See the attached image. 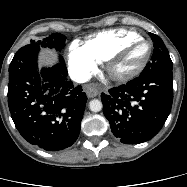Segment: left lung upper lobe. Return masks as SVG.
Segmentation results:
<instances>
[{"label": "left lung upper lobe", "instance_id": "5c2ea615", "mask_svg": "<svg viewBox=\"0 0 187 187\" xmlns=\"http://www.w3.org/2000/svg\"><path fill=\"white\" fill-rule=\"evenodd\" d=\"M150 36L154 42L153 56L140 76L172 71V61L162 39L153 33H150Z\"/></svg>", "mask_w": 187, "mask_h": 187}]
</instances>
